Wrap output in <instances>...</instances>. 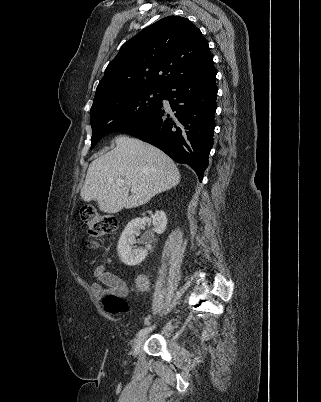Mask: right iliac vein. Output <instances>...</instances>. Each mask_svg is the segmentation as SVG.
<instances>
[{
	"label": "right iliac vein",
	"instance_id": "63e3f726",
	"mask_svg": "<svg viewBox=\"0 0 321 402\" xmlns=\"http://www.w3.org/2000/svg\"><path fill=\"white\" fill-rule=\"evenodd\" d=\"M146 339V335L139 336L133 343V355L136 356L139 353V350Z\"/></svg>",
	"mask_w": 321,
	"mask_h": 402
}]
</instances>
